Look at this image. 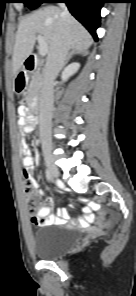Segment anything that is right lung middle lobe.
<instances>
[{"label":"right lung middle lobe","instance_id":"obj_1","mask_svg":"<svg viewBox=\"0 0 136 296\" xmlns=\"http://www.w3.org/2000/svg\"><path fill=\"white\" fill-rule=\"evenodd\" d=\"M19 2L24 3L30 9L38 7L41 3H46L47 0H19Z\"/></svg>","mask_w":136,"mask_h":296}]
</instances>
